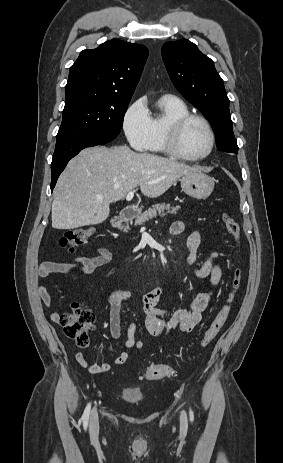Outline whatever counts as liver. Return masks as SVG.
Listing matches in <instances>:
<instances>
[{
    "label": "liver",
    "mask_w": 283,
    "mask_h": 463,
    "mask_svg": "<svg viewBox=\"0 0 283 463\" xmlns=\"http://www.w3.org/2000/svg\"><path fill=\"white\" fill-rule=\"evenodd\" d=\"M173 159L136 153L122 145L83 149L60 175L52 202V227L70 230L104 222L109 205L140 186L157 198L180 177L199 172Z\"/></svg>",
    "instance_id": "liver-1"
}]
</instances>
